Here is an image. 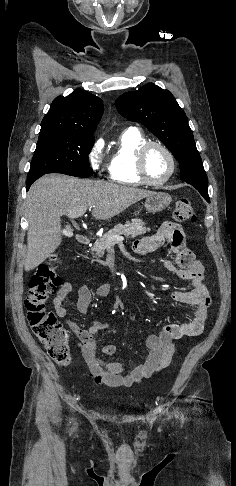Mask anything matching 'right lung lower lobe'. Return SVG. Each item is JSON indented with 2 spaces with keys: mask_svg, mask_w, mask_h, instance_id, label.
I'll return each instance as SVG.
<instances>
[{
  "mask_svg": "<svg viewBox=\"0 0 236 486\" xmlns=\"http://www.w3.org/2000/svg\"><path fill=\"white\" fill-rule=\"evenodd\" d=\"M42 175H36V176H33L31 178H27V182H26V190H29L31 184L37 180L39 177H41Z\"/></svg>",
  "mask_w": 236,
  "mask_h": 486,
  "instance_id": "right-lung-lower-lobe-1",
  "label": "right lung lower lobe"
}]
</instances>
